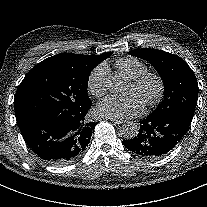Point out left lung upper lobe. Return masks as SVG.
Returning <instances> with one entry per match:
<instances>
[{"label": "left lung upper lobe", "mask_w": 207, "mask_h": 207, "mask_svg": "<svg viewBox=\"0 0 207 207\" xmlns=\"http://www.w3.org/2000/svg\"><path fill=\"white\" fill-rule=\"evenodd\" d=\"M130 55L147 60L160 74L164 84V100L151 115H177L191 123L197 100L198 82L189 65L179 56L142 48Z\"/></svg>", "instance_id": "5c2ea615"}]
</instances>
